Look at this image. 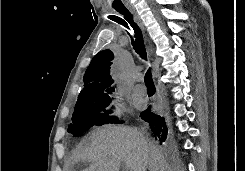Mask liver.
I'll list each match as a JSON object with an SVG mask.
<instances>
[{"label":"liver","instance_id":"6515ba94","mask_svg":"<svg viewBox=\"0 0 245 171\" xmlns=\"http://www.w3.org/2000/svg\"><path fill=\"white\" fill-rule=\"evenodd\" d=\"M90 139V145L74 156L75 163H91L84 171H119L122 163L130 171H173L159 148L133 128L104 126L93 131Z\"/></svg>","mask_w":245,"mask_h":171}]
</instances>
